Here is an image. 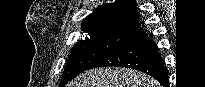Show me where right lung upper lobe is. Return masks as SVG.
<instances>
[{
    "label": "right lung upper lobe",
    "instance_id": "obj_1",
    "mask_svg": "<svg viewBox=\"0 0 205 87\" xmlns=\"http://www.w3.org/2000/svg\"><path fill=\"white\" fill-rule=\"evenodd\" d=\"M137 4L131 0H118L99 6L82 24L84 32L120 31L135 34L142 30Z\"/></svg>",
    "mask_w": 205,
    "mask_h": 87
}]
</instances>
